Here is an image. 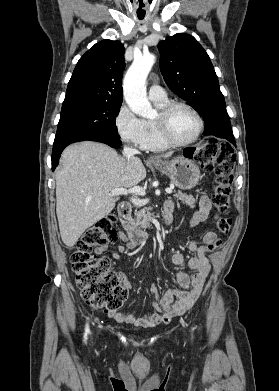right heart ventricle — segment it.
Here are the masks:
<instances>
[{
    "mask_svg": "<svg viewBox=\"0 0 279 391\" xmlns=\"http://www.w3.org/2000/svg\"><path fill=\"white\" fill-rule=\"evenodd\" d=\"M153 102L155 106L160 110L168 103V99ZM143 123L145 128V137L142 142L141 148L149 151H163L168 149L169 146L166 145L160 137L155 120L148 119L144 120Z\"/></svg>",
    "mask_w": 279,
    "mask_h": 391,
    "instance_id": "1",
    "label": "right heart ventricle"
}]
</instances>
